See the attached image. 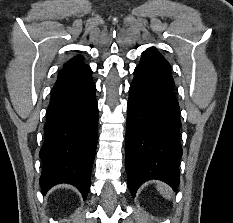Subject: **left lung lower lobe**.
I'll return each mask as SVG.
<instances>
[{"mask_svg":"<svg viewBox=\"0 0 233 223\" xmlns=\"http://www.w3.org/2000/svg\"><path fill=\"white\" fill-rule=\"evenodd\" d=\"M169 69L170 64L157 49L150 48L134 70L125 146L128 187L133 197L139 186L150 179L162 180L173 190L180 183L181 121Z\"/></svg>","mask_w":233,"mask_h":223,"instance_id":"obj_1","label":"left lung lower lobe"}]
</instances>
